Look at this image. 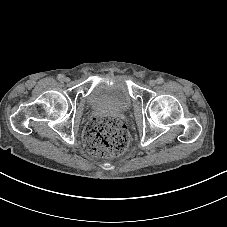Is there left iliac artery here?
I'll return each instance as SVG.
<instances>
[{
	"label": "left iliac artery",
	"mask_w": 227,
	"mask_h": 227,
	"mask_svg": "<svg viewBox=\"0 0 227 227\" xmlns=\"http://www.w3.org/2000/svg\"><path fill=\"white\" fill-rule=\"evenodd\" d=\"M164 82V79L162 78V77H159L158 79H157V83L158 84H162Z\"/></svg>",
	"instance_id": "44dca946"
}]
</instances>
